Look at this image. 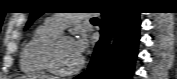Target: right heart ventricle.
<instances>
[{
	"label": "right heart ventricle",
	"mask_w": 177,
	"mask_h": 79,
	"mask_svg": "<svg viewBox=\"0 0 177 79\" xmlns=\"http://www.w3.org/2000/svg\"><path fill=\"white\" fill-rule=\"evenodd\" d=\"M59 35L60 32L46 22L36 27L22 48L21 70L31 75H47L50 71L42 59L43 49L49 41Z\"/></svg>",
	"instance_id": "right-heart-ventricle-1"
}]
</instances>
